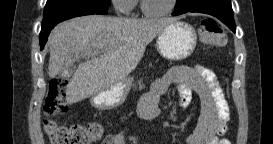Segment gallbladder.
Returning a JSON list of instances; mask_svg holds the SVG:
<instances>
[{"mask_svg": "<svg viewBox=\"0 0 273 144\" xmlns=\"http://www.w3.org/2000/svg\"><path fill=\"white\" fill-rule=\"evenodd\" d=\"M75 65H68L66 71H62V75H60V80H70V76L75 74Z\"/></svg>", "mask_w": 273, "mask_h": 144, "instance_id": "gallbladder-1", "label": "gallbladder"}]
</instances>
